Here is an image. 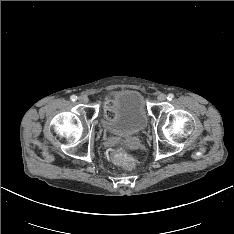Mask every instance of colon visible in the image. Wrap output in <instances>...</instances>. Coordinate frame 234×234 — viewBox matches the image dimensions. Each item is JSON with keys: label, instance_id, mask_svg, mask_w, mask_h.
Segmentation results:
<instances>
[{"label": "colon", "instance_id": "5ec220e1", "mask_svg": "<svg viewBox=\"0 0 234 234\" xmlns=\"http://www.w3.org/2000/svg\"><path fill=\"white\" fill-rule=\"evenodd\" d=\"M114 161L118 165H122L127 169L135 168L138 165V160L135 157H129L125 150H118L114 154Z\"/></svg>", "mask_w": 234, "mask_h": 234}]
</instances>
